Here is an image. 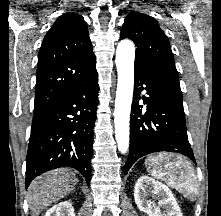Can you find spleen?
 Returning a JSON list of instances; mask_svg holds the SVG:
<instances>
[{
  "label": "spleen",
  "instance_id": "spleen-1",
  "mask_svg": "<svg viewBox=\"0 0 221 216\" xmlns=\"http://www.w3.org/2000/svg\"><path fill=\"white\" fill-rule=\"evenodd\" d=\"M150 175L167 183L185 197L198 194V183L192 164L183 156L161 153L150 155L145 160Z\"/></svg>",
  "mask_w": 221,
  "mask_h": 216
}]
</instances>
